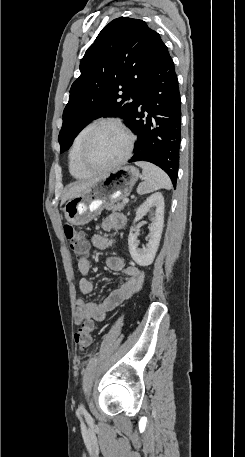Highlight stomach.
<instances>
[{
  "mask_svg": "<svg viewBox=\"0 0 245 457\" xmlns=\"http://www.w3.org/2000/svg\"><path fill=\"white\" fill-rule=\"evenodd\" d=\"M140 172L136 166H119L67 200L63 210L67 222L87 224L101 214L108 202L126 198Z\"/></svg>",
  "mask_w": 245,
  "mask_h": 457,
  "instance_id": "0dacf381",
  "label": "stomach"
}]
</instances>
